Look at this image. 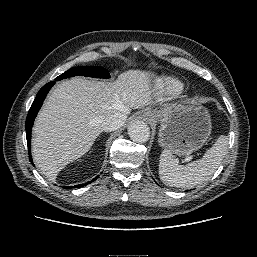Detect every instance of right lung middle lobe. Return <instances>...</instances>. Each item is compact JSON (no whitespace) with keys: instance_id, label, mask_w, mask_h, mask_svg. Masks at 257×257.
<instances>
[{"instance_id":"right-lung-middle-lobe-1","label":"right lung middle lobe","mask_w":257,"mask_h":257,"mask_svg":"<svg viewBox=\"0 0 257 257\" xmlns=\"http://www.w3.org/2000/svg\"><path fill=\"white\" fill-rule=\"evenodd\" d=\"M87 76L97 78H109L110 75L105 68L97 66L74 67L57 77V80L66 79L72 76Z\"/></svg>"}]
</instances>
